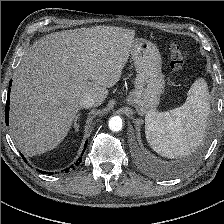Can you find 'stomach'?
Segmentation results:
<instances>
[{
    "label": "stomach",
    "instance_id": "0dacf381",
    "mask_svg": "<svg viewBox=\"0 0 224 224\" xmlns=\"http://www.w3.org/2000/svg\"><path fill=\"white\" fill-rule=\"evenodd\" d=\"M130 54L137 74L135 89L128 95L126 102L142 115L157 107L165 87L161 56L158 48L143 38L134 40Z\"/></svg>",
    "mask_w": 224,
    "mask_h": 224
}]
</instances>
